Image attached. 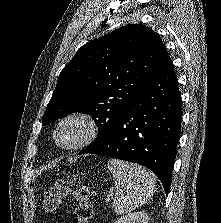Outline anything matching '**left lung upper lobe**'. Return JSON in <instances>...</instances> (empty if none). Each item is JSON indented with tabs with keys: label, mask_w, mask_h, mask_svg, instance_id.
<instances>
[{
	"label": "left lung upper lobe",
	"mask_w": 221,
	"mask_h": 223,
	"mask_svg": "<svg viewBox=\"0 0 221 223\" xmlns=\"http://www.w3.org/2000/svg\"><path fill=\"white\" fill-rule=\"evenodd\" d=\"M167 56L158 34L141 24L86 43L61 71L43 125L73 112L88 113L99 133L87 148L97 144L158 75Z\"/></svg>",
	"instance_id": "1"
}]
</instances>
